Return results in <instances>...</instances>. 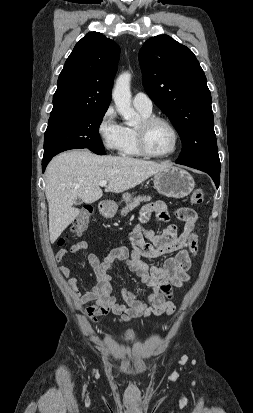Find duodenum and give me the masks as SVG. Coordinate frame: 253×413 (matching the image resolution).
I'll return each mask as SVG.
<instances>
[{"instance_id":"duodenum-1","label":"duodenum","mask_w":253,"mask_h":413,"mask_svg":"<svg viewBox=\"0 0 253 413\" xmlns=\"http://www.w3.org/2000/svg\"><path fill=\"white\" fill-rule=\"evenodd\" d=\"M101 210L105 215H109L111 213V205L108 202L101 203Z\"/></svg>"}]
</instances>
